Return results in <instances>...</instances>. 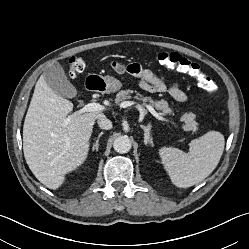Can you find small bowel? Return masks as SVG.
<instances>
[{
	"instance_id": "1",
	"label": "small bowel",
	"mask_w": 249,
	"mask_h": 249,
	"mask_svg": "<svg viewBox=\"0 0 249 249\" xmlns=\"http://www.w3.org/2000/svg\"><path fill=\"white\" fill-rule=\"evenodd\" d=\"M118 73L127 72L136 76L139 79V86L151 93H168L173 99L178 102H185L187 95L180 88L178 82L167 84L161 77L155 75L151 70L143 68L138 64L126 66L125 70L117 71Z\"/></svg>"
}]
</instances>
